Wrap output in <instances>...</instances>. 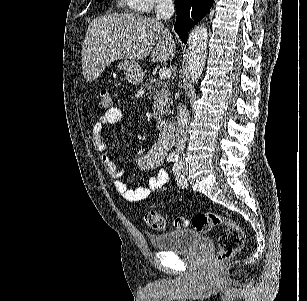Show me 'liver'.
I'll return each instance as SVG.
<instances>
[{"mask_svg":"<svg viewBox=\"0 0 307 301\" xmlns=\"http://www.w3.org/2000/svg\"><path fill=\"white\" fill-rule=\"evenodd\" d=\"M150 52L153 62L172 60L175 56L174 38L163 22L118 12L96 16L87 28L82 46L84 78L92 82L117 58L142 60Z\"/></svg>","mask_w":307,"mask_h":301,"instance_id":"liver-1","label":"liver"}]
</instances>
